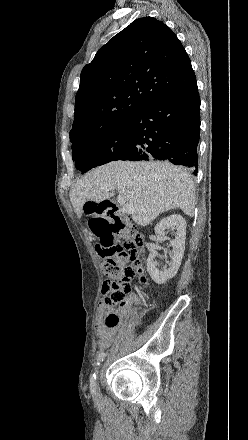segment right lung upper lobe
Segmentation results:
<instances>
[{
    "mask_svg": "<svg viewBox=\"0 0 248 440\" xmlns=\"http://www.w3.org/2000/svg\"><path fill=\"white\" fill-rule=\"evenodd\" d=\"M194 83L190 59L175 33L153 17L133 21L81 72L72 145L113 130L147 103Z\"/></svg>",
    "mask_w": 248,
    "mask_h": 440,
    "instance_id": "right-lung-upper-lobe-1",
    "label": "right lung upper lobe"
}]
</instances>
